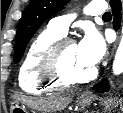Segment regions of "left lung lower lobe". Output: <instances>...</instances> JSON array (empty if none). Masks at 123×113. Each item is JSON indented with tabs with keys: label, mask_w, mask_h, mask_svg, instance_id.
<instances>
[{
	"label": "left lung lower lobe",
	"mask_w": 123,
	"mask_h": 113,
	"mask_svg": "<svg viewBox=\"0 0 123 113\" xmlns=\"http://www.w3.org/2000/svg\"><path fill=\"white\" fill-rule=\"evenodd\" d=\"M110 5L112 7V13L114 16L113 27L115 30H118L120 27L122 4L120 0H110ZM94 89L98 93L108 91V81L103 79L101 82L95 85Z\"/></svg>",
	"instance_id": "0a47b994"
}]
</instances>
